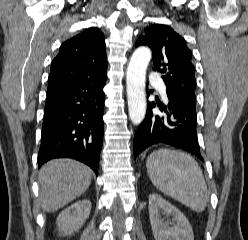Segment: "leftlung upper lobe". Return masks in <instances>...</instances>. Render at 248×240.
Returning a JSON list of instances; mask_svg holds the SVG:
<instances>
[{
	"label": "left lung upper lobe",
	"instance_id": "5c2ea615",
	"mask_svg": "<svg viewBox=\"0 0 248 240\" xmlns=\"http://www.w3.org/2000/svg\"><path fill=\"white\" fill-rule=\"evenodd\" d=\"M140 36L136 47L148 46L153 53L154 71L162 73L167 96L186 104H196L195 68L186 41L171 27L149 25Z\"/></svg>",
	"mask_w": 248,
	"mask_h": 240
}]
</instances>
